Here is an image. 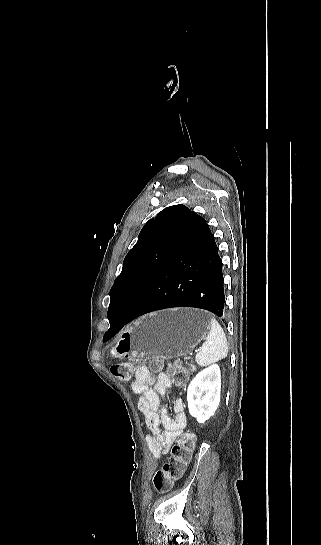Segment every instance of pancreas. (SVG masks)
Returning a JSON list of instances; mask_svg holds the SVG:
<instances>
[{
	"instance_id": "obj_1",
	"label": "pancreas",
	"mask_w": 321,
	"mask_h": 545,
	"mask_svg": "<svg viewBox=\"0 0 321 545\" xmlns=\"http://www.w3.org/2000/svg\"><path fill=\"white\" fill-rule=\"evenodd\" d=\"M188 365V363H186ZM189 371H196L195 365H189Z\"/></svg>"
}]
</instances>
